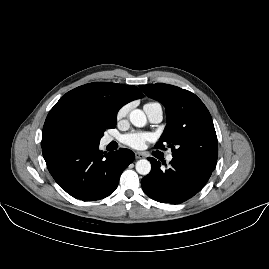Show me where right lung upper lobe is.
Listing matches in <instances>:
<instances>
[{
    "instance_id": "obj_1",
    "label": "right lung upper lobe",
    "mask_w": 269,
    "mask_h": 269,
    "mask_svg": "<svg viewBox=\"0 0 269 269\" xmlns=\"http://www.w3.org/2000/svg\"><path fill=\"white\" fill-rule=\"evenodd\" d=\"M142 97V92L133 85L94 82L79 86L63 95L50 110L43 127L42 139L55 136L52 123L61 113L75 111L117 114L123 105Z\"/></svg>"
}]
</instances>
